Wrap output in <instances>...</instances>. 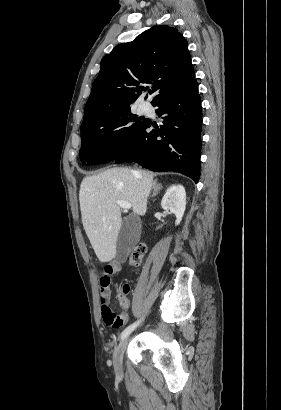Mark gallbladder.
<instances>
[{"label": "gallbladder", "instance_id": "obj_1", "mask_svg": "<svg viewBox=\"0 0 281 410\" xmlns=\"http://www.w3.org/2000/svg\"><path fill=\"white\" fill-rule=\"evenodd\" d=\"M135 223V216L126 217L119 232L116 244V259L120 263L126 261L129 253L139 239V232Z\"/></svg>", "mask_w": 281, "mask_h": 410}]
</instances>
